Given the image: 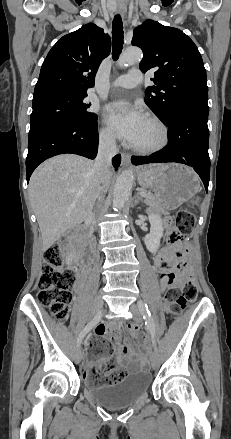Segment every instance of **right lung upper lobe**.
I'll return each mask as SVG.
<instances>
[{
  "instance_id": "1",
  "label": "right lung upper lobe",
  "mask_w": 231,
  "mask_h": 439,
  "mask_svg": "<svg viewBox=\"0 0 231 439\" xmlns=\"http://www.w3.org/2000/svg\"><path fill=\"white\" fill-rule=\"evenodd\" d=\"M110 50V37L93 23L63 36L43 62L33 99L51 93L87 95Z\"/></svg>"
}]
</instances>
